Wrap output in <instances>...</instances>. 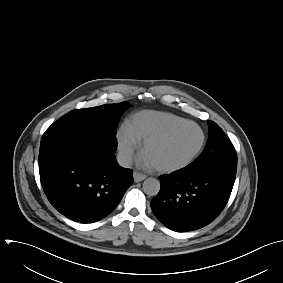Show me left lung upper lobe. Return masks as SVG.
I'll list each match as a JSON object with an SVG mask.
<instances>
[{"mask_svg":"<svg viewBox=\"0 0 283 283\" xmlns=\"http://www.w3.org/2000/svg\"><path fill=\"white\" fill-rule=\"evenodd\" d=\"M207 123L209 125L207 144L201 155L187 167L191 169H224L236 172L237 155L231 141L215 122L208 120Z\"/></svg>","mask_w":283,"mask_h":283,"instance_id":"left-lung-upper-lobe-1","label":"left lung upper lobe"}]
</instances>
